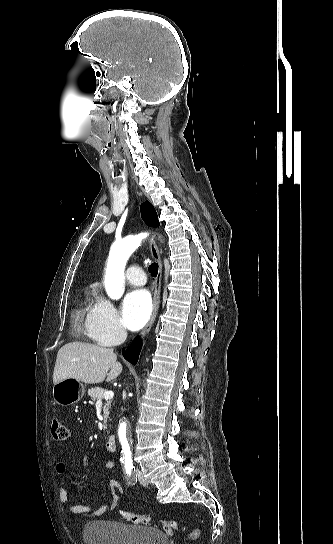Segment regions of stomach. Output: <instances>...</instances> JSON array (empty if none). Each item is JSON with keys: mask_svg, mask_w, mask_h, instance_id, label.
<instances>
[{"mask_svg": "<svg viewBox=\"0 0 333 544\" xmlns=\"http://www.w3.org/2000/svg\"><path fill=\"white\" fill-rule=\"evenodd\" d=\"M85 394L84 384L74 378H66L53 387V398L59 405L70 406L82 399Z\"/></svg>", "mask_w": 333, "mask_h": 544, "instance_id": "obj_1", "label": "stomach"}]
</instances>
